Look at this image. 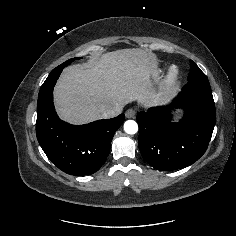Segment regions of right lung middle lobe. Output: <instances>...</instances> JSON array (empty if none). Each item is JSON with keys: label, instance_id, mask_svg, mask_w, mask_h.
<instances>
[{"label": "right lung middle lobe", "instance_id": "dd1d6c3e", "mask_svg": "<svg viewBox=\"0 0 236 236\" xmlns=\"http://www.w3.org/2000/svg\"><path fill=\"white\" fill-rule=\"evenodd\" d=\"M77 59H80V58L76 57V58L69 59L68 61L62 63L61 65H59L56 68H64L65 66L69 65L71 62H73L74 60H77Z\"/></svg>", "mask_w": 236, "mask_h": 236}]
</instances>
